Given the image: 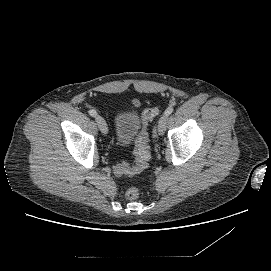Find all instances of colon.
I'll use <instances>...</instances> for the list:
<instances>
[{
    "label": "colon",
    "instance_id": "colon-1",
    "mask_svg": "<svg viewBox=\"0 0 271 271\" xmlns=\"http://www.w3.org/2000/svg\"><path fill=\"white\" fill-rule=\"evenodd\" d=\"M158 114V108H148L144 110L141 117V128L137 136L134 153L136 161L134 165L126 162L117 164L114 171L118 175H130L142 171L148 165L150 159V152L148 149L147 140V125ZM125 196L129 200H135L139 197V190L137 187H130L126 190Z\"/></svg>",
    "mask_w": 271,
    "mask_h": 271
}]
</instances>
